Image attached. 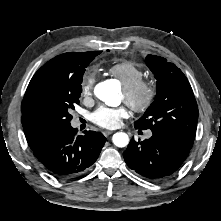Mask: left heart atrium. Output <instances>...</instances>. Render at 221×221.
<instances>
[{
	"label": "left heart atrium",
	"instance_id": "39dd6f15",
	"mask_svg": "<svg viewBox=\"0 0 221 221\" xmlns=\"http://www.w3.org/2000/svg\"><path fill=\"white\" fill-rule=\"evenodd\" d=\"M129 115L125 105L119 107L100 106L93 114L92 120L103 128H116L120 126L121 120Z\"/></svg>",
	"mask_w": 221,
	"mask_h": 221
}]
</instances>
